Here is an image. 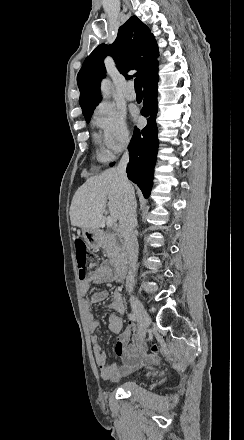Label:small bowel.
Segmentation results:
<instances>
[{
	"mask_svg": "<svg viewBox=\"0 0 244 440\" xmlns=\"http://www.w3.org/2000/svg\"><path fill=\"white\" fill-rule=\"evenodd\" d=\"M124 275L118 273L112 265L108 263L101 264L96 270L92 271L84 280H81L79 289L82 295H86L91 284L118 283L124 282ZM109 293L107 290L96 291L90 298L82 302V311L85 323L90 333V339L93 344V353L100 376L104 380L119 381L138 368L148 365L154 361L155 357L148 353L147 347L141 341H135L133 338V328L129 325L123 330V322L120 319H114L110 324V329L117 334L114 353L120 359L121 363L107 364V355L104 348L98 342L96 331L100 323L97 320L92 309L94 304H98L107 299ZM111 310L123 313L124 299L119 289H114L111 293Z\"/></svg>",
	"mask_w": 244,
	"mask_h": 440,
	"instance_id": "c3829d8e",
	"label": "small bowel"
}]
</instances>
